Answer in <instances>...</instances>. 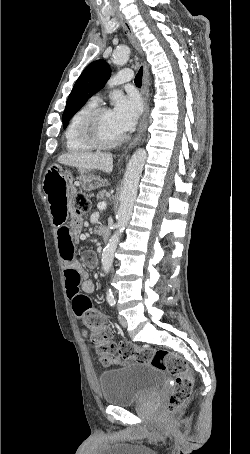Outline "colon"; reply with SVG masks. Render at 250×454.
<instances>
[{"instance_id": "5ec220e1", "label": "colon", "mask_w": 250, "mask_h": 454, "mask_svg": "<svg viewBox=\"0 0 250 454\" xmlns=\"http://www.w3.org/2000/svg\"><path fill=\"white\" fill-rule=\"evenodd\" d=\"M90 209V200L84 192H76L74 197L73 215L80 217ZM87 326L91 329V342L96 352L105 361H117L120 358H134L138 362L151 364L153 367L171 375L174 379L172 393L167 409L170 414L176 413L189 399L194 377L185 359L172 351L138 347L131 342L115 345L112 341V329L106 324L103 314L89 317Z\"/></svg>"}]
</instances>
